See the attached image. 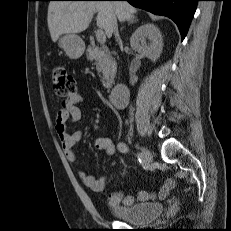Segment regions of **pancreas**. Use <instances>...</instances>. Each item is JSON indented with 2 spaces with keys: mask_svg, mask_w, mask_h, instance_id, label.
<instances>
[{
  "mask_svg": "<svg viewBox=\"0 0 231 231\" xmlns=\"http://www.w3.org/2000/svg\"><path fill=\"white\" fill-rule=\"evenodd\" d=\"M87 59L95 61L96 70L102 73V83L106 89L111 88L113 78L116 72V62L107 51L98 46L87 49Z\"/></svg>",
  "mask_w": 231,
  "mask_h": 231,
  "instance_id": "obj_1",
  "label": "pancreas"
}]
</instances>
